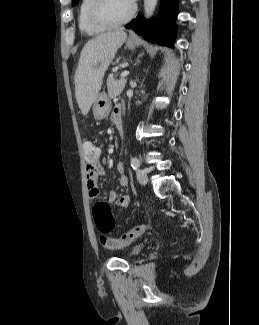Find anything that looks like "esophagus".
Wrapping results in <instances>:
<instances>
[{
	"label": "esophagus",
	"instance_id": "obj_1",
	"mask_svg": "<svg viewBox=\"0 0 259 325\" xmlns=\"http://www.w3.org/2000/svg\"><path fill=\"white\" fill-rule=\"evenodd\" d=\"M130 38H131V39H134L135 36H134L133 34H130Z\"/></svg>",
	"mask_w": 259,
	"mask_h": 325
}]
</instances>
